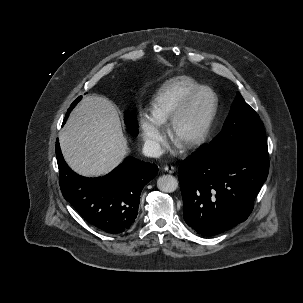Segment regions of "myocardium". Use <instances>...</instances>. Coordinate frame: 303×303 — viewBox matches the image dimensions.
Segmentation results:
<instances>
[{"label":"myocardium","instance_id":"myocardium-1","mask_svg":"<svg viewBox=\"0 0 303 303\" xmlns=\"http://www.w3.org/2000/svg\"><path fill=\"white\" fill-rule=\"evenodd\" d=\"M203 92H209L213 97V105L212 108L205 119L202 126L199 130L189 139L182 142L185 147L187 148H194L202 144V142L207 137L214 121L217 116L219 110V96L216 91L209 87V86H200L195 91H193L187 99L178 107V109L173 113L169 120V130L173 137L176 139L178 136L179 126L183 118L191 109L192 105L194 104L195 100L201 95Z\"/></svg>","mask_w":303,"mask_h":303}]
</instances>
